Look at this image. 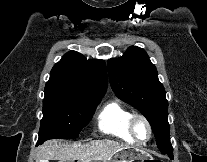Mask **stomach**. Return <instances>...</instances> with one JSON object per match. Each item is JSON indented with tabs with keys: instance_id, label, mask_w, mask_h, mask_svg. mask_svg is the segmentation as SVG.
Segmentation results:
<instances>
[{
	"instance_id": "obj_1",
	"label": "stomach",
	"mask_w": 207,
	"mask_h": 162,
	"mask_svg": "<svg viewBox=\"0 0 207 162\" xmlns=\"http://www.w3.org/2000/svg\"><path fill=\"white\" fill-rule=\"evenodd\" d=\"M135 160H153L145 152L125 147L114 154L111 162H134ZM73 162V161H70Z\"/></svg>"
}]
</instances>
